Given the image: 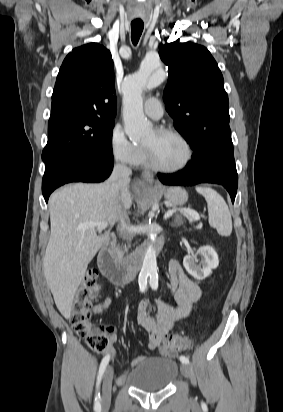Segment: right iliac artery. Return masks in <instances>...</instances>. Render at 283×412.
I'll use <instances>...</instances> for the list:
<instances>
[{
    "label": "right iliac artery",
    "mask_w": 283,
    "mask_h": 412,
    "mask_svg": "<svg viewBox=\"0 0 283 412\" xmlns=\"http://www.w3.org/2000/svg\"><path fill=\"white\" fill-rule=\"evenodd\" d=\"M147 277H148V275H147V274H144V275L140 278V280H139V286H140V291H141V292H144L145 289H146V287H147ZM109 359H110V356H109V355H106V356L102 359V362H101V364H100V368H99V372H98V377H97V390L99 389L100 381H101V379H102V376H103V374H104V371H105V369H106V366H107L108 363H109ZM94 408H95L96 412H100L101 404H100V393H99V392H97V393H96V396H95V405H94Z\"/></svg>",
    "instance_id": "1"
}]
</instances>
